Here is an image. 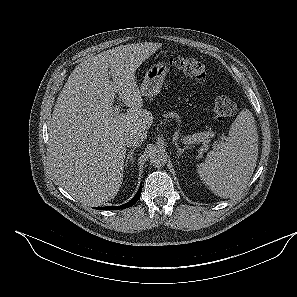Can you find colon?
Returning <instances> with one entry per match:
<instances>
[{
    "label": "colon",
    "mask_w": 297,
    "mask_h": 297,
    "mask_svg": "<svg viewBox=\"0 0 297 297\" xmlns=\"http://www.w3.org/2000/svg\"><path fill=\"white\" fill-rule=\"evenodd\" d=\"M170 64L195 81L201 82L206 79V66L196 58L176 56L170 58ZM235 110L236 105L234 101L226 95H221L215 100L213 117L221 121L232 116Z\"/></svg>",
    "instance_id": "5ec220e1"
}]
</instances>
